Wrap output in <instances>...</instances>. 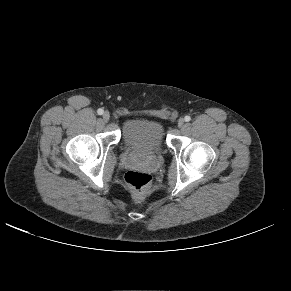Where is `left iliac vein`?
I'll return each instance as SVG.
<instances>
[{
	"instance_id": "left-iliac-vein-1",
	"label": "left iliac vein",
	"mask_w": 291,
	"mask_h": 291,
	"mask_svg": "<svg viewBox=\"0 0 291 291\" xmlns=\"http://www.w3.org/2000/svg\"><path fill=\"white\" fill-rule=\"evenodd\" d=\"M184 124H185V120L183 118H180L178 120V127L179 128H183L184 127Z\"/></svg>"
}]
</instances>
